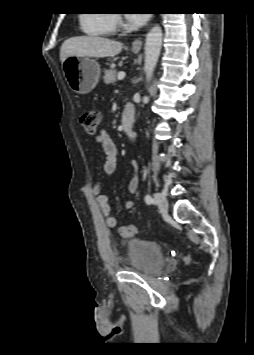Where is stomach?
Returning a JSON list of instances; mask_svg holds the SVG:
<instances>
[{"label":"stomach","mask_w":254,"mask_h":355,"mask_svg":"<svg viewBox=\"0 0 254 355\" xmlns=\"http://www.w3.org/2000/svg\"><path fill=\"white\" fill-rule=\"evenodd\" d=\"M134 52H138L134 50ZM64 75L71 89L87 94L96 86L100 77V65L87 56H71L63 62Z\"/></svg>","instance_id":"0dacf381"}]
</instances>
